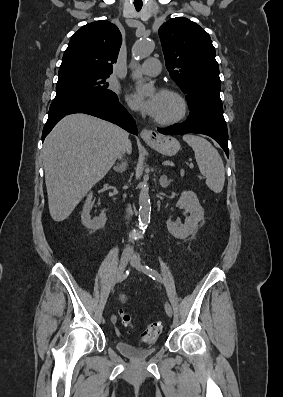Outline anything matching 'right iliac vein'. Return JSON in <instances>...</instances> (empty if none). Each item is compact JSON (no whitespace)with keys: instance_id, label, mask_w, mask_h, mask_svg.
<instances>
[{"instance_id":"63e3f726","label":"right iliac vein","mask_w":283,"mask_h":397,"mask_svg":"<svg viewBox=\"0 0 283 397\" xmlns=\"http://www.w3.org/2000/svg\"><path fill=\"white\" fill-rule=\"evenodd\" d=\"M129 260V255L128 254H123L120 260V263L118 265V268L116 270V273L110 283V287L113 288L115 286V284L121 279V277L123 276L127 263Z\"/></svg>"}]
</instances>
